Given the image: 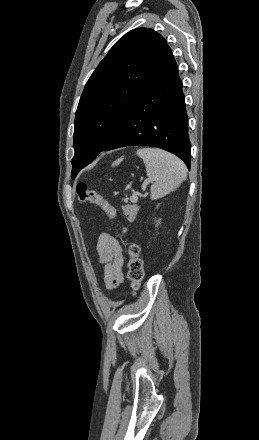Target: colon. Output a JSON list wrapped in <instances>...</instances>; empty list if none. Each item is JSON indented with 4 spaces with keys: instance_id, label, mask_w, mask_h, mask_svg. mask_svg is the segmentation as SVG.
<instances>
[{
    "instance_id": "1",
    "label": "colon",
    "mask_w": 259,
    "mask_h": 440,
    "mask_svg": "<svg viewBox=\"0 0 259 440\" xmlns=\"http://www.w3.org/2000/svg\"><path fill=\"white\" fill-rule=\"evenodd\" d=\"M77 195L82 202H88L101 207L110 219L116 216L115 208L96 190L88 188L85 183H79L76 188ZM128 278L131 282L132 290L137 291L144 278L143 260L140 256V248L132 243L128 247Z\"/></svg>"
}]
</instances>
